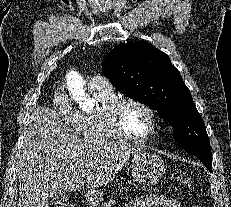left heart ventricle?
<instances>
[{"label":"left heart ventricle","mask_w":231,"mask_h":207,"mask_svg":"<svg viewBox=\"0 0 231 207\" xmlns=\"http://www.w3.org/2000/svg\"><path fill=\"white\" fill-rule=\"evenodd\" d=\"M121 120L127 133L133 137H144L150 132L149 115L138 105H126L122 109Z\"/></svg>","instance_id":"obj_1"}]
</instances>
